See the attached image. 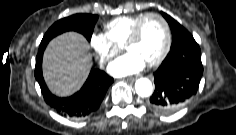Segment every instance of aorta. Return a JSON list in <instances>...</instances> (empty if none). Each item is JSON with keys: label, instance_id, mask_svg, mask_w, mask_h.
Here are the masks:
<instances>
[{"label": "aorta", "instance_id": "762f6f07", "mask_svg": "<svg viewBox=\"0 0 236 135\" xmlns=\"http://www.w3.org/2000/svg\"><path fill=\"white\" fill-rule=\"evenodd\" d=\"M136 93L141 97H149L152 94L153 86L149 79L140 78L135 82Z\"/></svg>", "mask_w": 236, "mask_h": 135}]
</instances>
